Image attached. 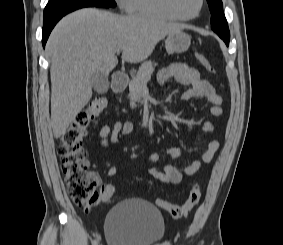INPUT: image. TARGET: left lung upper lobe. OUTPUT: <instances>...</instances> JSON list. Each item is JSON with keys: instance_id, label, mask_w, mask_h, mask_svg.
Here are the masks:
<instances>
[{"instance_id": "1", "label": "left lung upper lobe", "mask_w": 283, "mask_h": 245, "mask_svg": "<svg viewBox=\"0 0 283 245\" xmlns=\"http://www.w3.org/2000/svg\"><path fill=\"white\" fill-rule=\"evenodd\" d=\"M211 12V28L226 44H229L230 33L223 12L221 0H207Z\"/></svg>"}]
</instances>
